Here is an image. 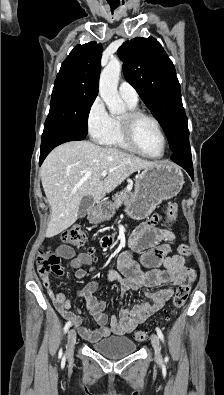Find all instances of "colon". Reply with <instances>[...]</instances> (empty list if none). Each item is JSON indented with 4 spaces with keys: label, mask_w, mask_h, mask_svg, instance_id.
<instances>
[{
    "label": "colon",
    "mask_w": 224,
    "mask_h": 395,
    "mask_svg": "<svg viewBox=\"0 0 224 395\" xmlns=\"http://www.w3.org/2000/svg\"><path fill=\"white\" fill-rule=\"evenodd\" d=\"M166 213L171 221L177 219L179 209L177 204L169 203L166 207ZM62 242L68 245L76 247H82L85 245L87 237L81 227L74 226L66 229L61 233L60 236ZM37 268L42 276L62 275L63 269L60 266V258L49 249H43L40 251L37 257ZM196 278L195 270L190 268L187 271V280L181 282L175 291L172 298L171 309L164 316L165 320H170L176 313L177 310L182 308L188 299L191 291L192 283ZM148 332L146 330H137L134 332L133 337L136 341L142 342L147 339Z\"/></svg>",
    "instance_id": "5ec220e1"
}]
</instances>
